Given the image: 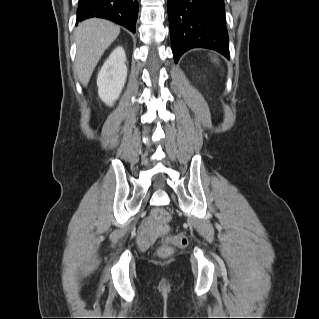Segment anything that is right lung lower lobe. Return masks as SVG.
I'll return each mask as SVG.
<instances>
[{
  "label": "right lung lower lobe",
  "instance_id": "98d812e1",
  "mask_svg": "<svg viewBox=\"0 0 319 319\" xmlns=\"http://www.w3.org/2000/svg\"><path fill=\"white\" fill-rule=\"evenodd\" d=\"M92 17L113 21L135 33L138 2L136 0H79L76 24Z\"/></svg>",
  "mask_w": 319,
  "mask_h": 319
}]
</instances>
